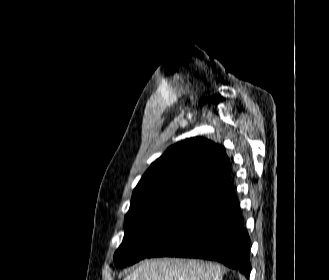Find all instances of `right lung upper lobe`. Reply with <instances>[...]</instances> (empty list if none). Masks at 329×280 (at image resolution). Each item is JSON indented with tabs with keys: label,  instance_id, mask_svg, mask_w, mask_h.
Returning <instances> with one entry per match:
<instances>
[{
	"label": "right lung upper lobe",
	"instance_id": "right-lung-upper-lobe-1",
	"mask_svg": "<svg viewBox=\"0 0 329 280\" xmlns=\"http://www.w3.org/2000/svg\"><path fill=\"white\" fill-rule=\"evenodd\" d=\"M230 179L224 148L195 137L178 142L153 162L134 189L129 213L173 196L207 199Z\"/></svg>",
	"mask_w": 329,
	"mask_h": 280
}]
</instances>
